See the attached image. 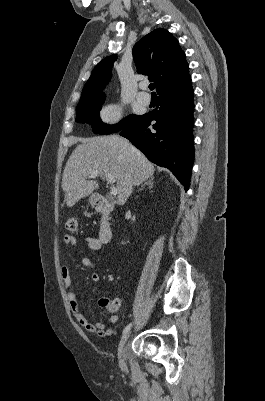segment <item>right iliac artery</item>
<instances>
[{
    "label": "right iliac artery",
    "instance_id": "82829eb1",
    "mask_svg": "<svg viewBox=\"0 0 265 401\" xmlns=\"http://www.w3.org/2000/svg\"><path fill=\"white\" fill-rule=\"evenodd\" d=\"M131 326H132V323H129V324L124 328V330H123V335H125L126 333H128V331L130 330Z\"/></svg>",
    "mask_w": 265,
    "mask_h": 401
}]
</instances>
